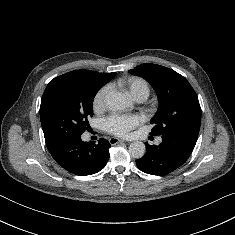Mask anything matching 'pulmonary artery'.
Returning <instances> with one entry per match:
<instances>
[{
    "instance_id": "pulmonary-artery-1",
    "label": "pulmonary artery",
    "mask_w": 235,
    "mask_h": 235,
    "mask_svg": "<svg viewBox=\"0 0 235 235\" xmlns=\"http://www.w3.org/2000/svg\"><path fill=\"white\" fill-rule=\"evenodd\" d=\"M146 98L145 97H140V98H137L136 100L138 101V102H142V101H144ZM162 141V139L161 138H158L157 139V143H160Z\"/></svg>"
}]
</instances>
